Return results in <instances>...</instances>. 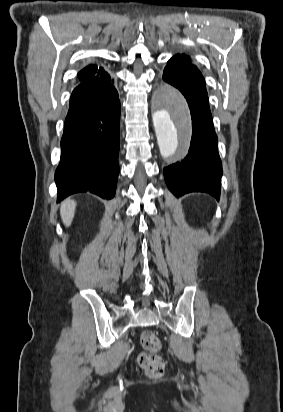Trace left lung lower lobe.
<instances>
[{"instance_id": "0a47b994", "label": "left lung lower lobe", "mask_w": 283, "mask_h": 412, "mask_svg": "<svg viewBox=\"0 0 283 412\" xmlns=\"http://www.w3.org/2000/svg\"><path fill=\"white\" fill-rule=\"evenodd\" d=\"M163 79L182 92L192 116L188 155L181 162L164 168L166 184L176 197L190 192H205L219 200L222 164L205 80L197 75L182 73L163 75Z\"/></svg>"}]
</instances>
